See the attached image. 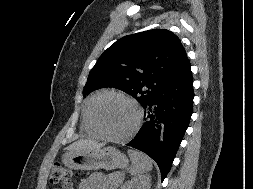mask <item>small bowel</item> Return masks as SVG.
Returning a JSON list of instances; mask_svg holds the SVG:
<instances>
[{"label": "small bowel", "mask_w": 253, "mask_h": 189, "mask_svg": "<svg viewBox=\"0 0 253 189\" xmlns=\"http://www.w3.org/2000/svg\"><path fill=\"white\" fill-rule=\"evenodd\" d=\"M104 176L100 173H94L83 180L78 189H108Z\"/></svg>", "instance_id": "c3829d8e"}]
</instances>
